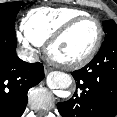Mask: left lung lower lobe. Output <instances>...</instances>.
I'll return each instance as SVG.
<instances>
[{
    "instance_id": "1",
    "label": "left lung lower lobe",
    "mask_w": 117,
    "mask_h": 117,
    "mask_svg": "<svg viewBox=\"0 0 117 117\" xmlns=\"http://www.w3.org/2000/svg\"><path fill=\"white\" fill-rule=\"evenodd\" d=\"M73 97L57 104L63 117H114L117 114V32L105 38L98 54L80 70Z\"/></svg>"
}]
</instances>
